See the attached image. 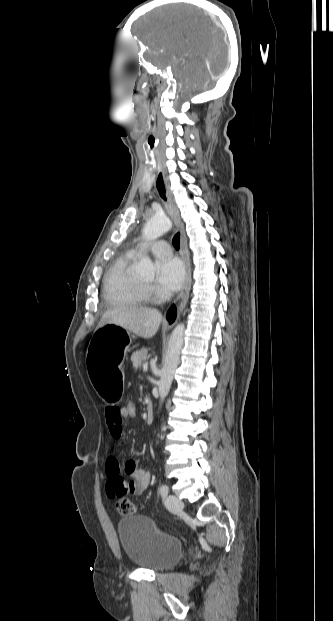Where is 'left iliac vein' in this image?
<instances>
[{"label": "left iliac vein", "mask_w": 333, "mask_h": 621, "mask_svg": "<svg viewBox=\"0 0 333 621\" xmlns=\"http://www.w3.org/2000/svg\"><path fill=\"white\" fill-rule=\"evenodd\" d=\"M166 506L170 511L177 512L183 509L184 505L175 495H169L166 498Z\"/></svg>", "instance_id": "4c4485c4"}]
</instances>
